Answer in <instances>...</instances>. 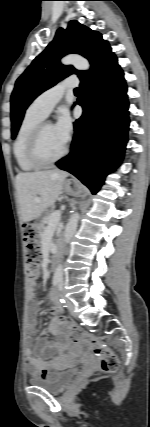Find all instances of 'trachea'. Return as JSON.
I'll list each match as a JSON object with an SVG mask.
<instances>
[{"label":"trachea","mask_w":150,"mask_h":427,"mask_svg":"<svg viewBox=\"0 0 150 427\" xmlns=\"http://www.w3.org/2000/svg\"><path fill=\"white\" fill-rule=\"evenodd\" d=\"M74 91H75L76 93H78L80 90H79V88H76Z\"/></svg>","instance_id":"3493384b"}]
</instances>
